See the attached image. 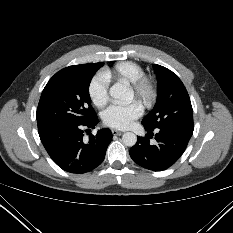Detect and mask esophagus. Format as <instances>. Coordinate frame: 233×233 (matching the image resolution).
Returning <instances> with one entry per match:
<instances>
[{
  "instance_id": "1",
  "label": "esophagus",
  "mask_w": 233,
  "mask_h": 233,
  "mask_svg": "<svg viewBox=\"0 0 233 233\" xmlns=\"http://www.w3.org/2000/svg\"><path fill=\"white\" fill-rule=\"evenodd\" d=\"M112 134L115 135V136H120L123 134L122 131H119V130H116V129H112Z\"/></svg>"
}]
</instances>
